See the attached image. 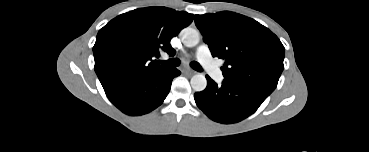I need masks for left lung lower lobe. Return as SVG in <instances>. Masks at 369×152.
<instances>
[{
    "mask_svg": "<svg viewBox=\"0 0 369 152\" xmlns=\"http://www.w3.org/2000/svg\"><path fill=\"white\" fill-rule=\"evenodd\" d=\"M206 78L207 87L195 93V102L210 119L219 123H237L247 118L270 95L258 87L227 81L219 86L208 75Z\"/></svg>",
    "mask_w": 369,
    "mask_h": 152,
    "instance_id": "obj_1",
    "label": "left lung lower lobe"
}]
</instances>
